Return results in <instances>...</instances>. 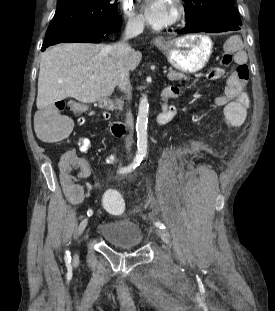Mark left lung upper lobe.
<instances>
[{"label": "left lung upper lobe", "instance_id": "1", "mask_svg": "<svg viewBox=\"0 0 275 311\" xmlns=\"http://www.w3.org/2000/svg\"><path fill=\"white\" fill-rule=\"evenodd\" d=\"M186 23L201 21L207 18H224L234 25H242L234 0H183Z\"/></svg>", "mask_w": 275, "mask_h": 311}]
</instances>
